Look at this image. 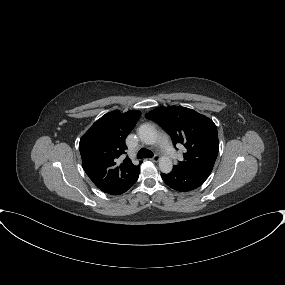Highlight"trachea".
<instances>
[{"label":"trachea","mask_w":285,"mask_h":285,"mask_svg":"<svg viewBox=\"0 0 285 285\" xmlns=\"http://www.w3.org/2000/svg\"><path fill=\"white\" fill-rule=\"evenodd\" d=\"M153 157V153L152 151L148 150V149H145V148H142L138 151L137 153V158L138 159H142V158H151Z\"/></svg>","instance_id":"trachea-1"}]
</instances>
